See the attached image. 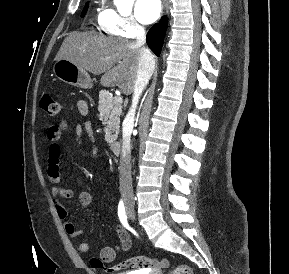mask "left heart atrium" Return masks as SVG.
I'll return each instance as SVG.
<instances>
[{
    "instance_id": "obj_1",
    "label": "left heart atrium",
    "mask_w": 289,
    "mask_h": 274,
    "mask_svg": "<svg viewBox=\"0 0 289 274\" xmlns=\"http://www.w3.org/2000/svg\"><path fill=\"white\" fill-rule=\"evenodd\" d=\"M161 0H137L135 15L143 24H150L158 19L161 13Z\"/></svg>"
}]
</instances>
